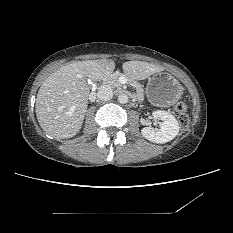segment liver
<instances>
[{
    "instance_id": "obj_1",
    "label": "liver",
    "mask_w": 233,
    "mask_h": 233,
    "mask_svg": "<svg viewBox=\"0 0 233 233\" xmlns=\"http://www.w3.org/2000/svg\"><path fill=\"white\" fill-rule=\"evenodd\" d=\"M115 69L111 59L78 61L65 65L48 76L36 98V116L47 134L57 139H68L81 129L90 89L86 78L99 81ZM124 73L131 79L144 80L161 72L163 67L142 61L123 63ZM76 105L75 110L70 109Z\"/></svg>"
}]
</instances>
